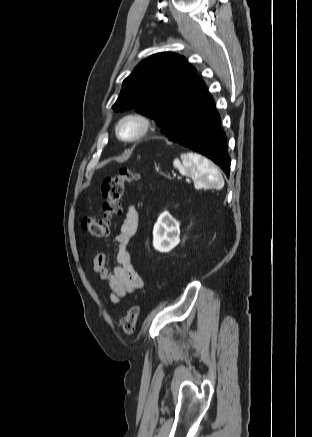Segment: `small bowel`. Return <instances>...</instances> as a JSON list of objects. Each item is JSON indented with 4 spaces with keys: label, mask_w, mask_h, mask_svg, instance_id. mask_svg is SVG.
Returning <instances> with one entry per match:
<instances>
[{
    "label": "small bowel",
    "mask_w": 312,
    "mask_h": 437,
    "mask_svg": "<svg viewBox=\"0 0 312 437\" xmlns=\"http://www.w3.org/2000/svg\"><path fill=\"white\" fill-rule=\"evenodd\" d=\"M138 220L137 207L130 205L115 237L116 267L109 268L108 256L105 252H97L92 258V269L100 280L107 283L113 302H119L127 294L143 287V279L133 266L128 249L130 241L137 231Z\"/></svg>",
    "instance_id": "c3829d8e"
}]
</instances>
